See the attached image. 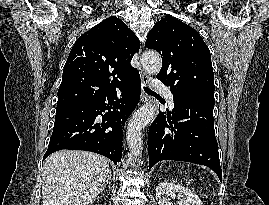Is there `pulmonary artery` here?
Here are the masks:
<instances>
[{"mask_svg": "<svg viewBox=\"0 0 269 205\" xmlns=\"http://www.w3.org/2000/svg\"><path fill=\"white\" fill-rule=\"evenodd\" d=\"M151 86L156 90L162 91L165 94L169 105L173 106L174 102H173L172 92L167 87H165L164 84L160 80L152 79Z\"/></svg>", "mask_w": 269, "mask_h": 205, "instance_id": "1", "label": "pulmonary artery"}]
</instances>
